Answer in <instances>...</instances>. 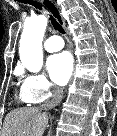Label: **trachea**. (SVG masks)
Returning a JSON list of instances; mask_svg holds the SVG:
<instances>
[{"mask_svg":"<svg viewBox=\"0 0 117 136\" xmlns=\"http://www.w3.org/2000/svg\"><path fill=\"white\" fill-rule=\"evenodd\" d=\"M19 1L23 2V3H29V4L33 5L35 8H38L39 10L42 9L41 6L36 1H33V0H19ZM50 20H51L53 27L58 32H60L61 34H65V31L62 28L61 24L54 17L50 16Z\"/></svg>","mask_w":117,"mask_h":136,"instance_id":"1","label":"trachea"}]
</instances>
